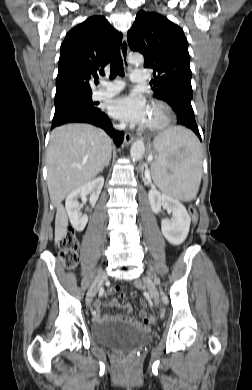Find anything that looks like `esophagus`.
<instances>
[{"instance_id": "esophagus-1", "label": "esophagus", "mask_w": 252, "mask_h": 390, "mask_svg": "<svg viewBox=\"0 0 252 390\" xmlns=\"http://www.w3.org/2000/svg\"><path fill=\"white\" fill-rule=\"evenodd\" d=\"M120 52L121 56L124 62L125 66H128V53H129V47L126 36L123 37L121 46H120ZM134 140L133 136L130 133H125L124 135V143L126 145H129Z\"/></svg>"}]
</instances>
